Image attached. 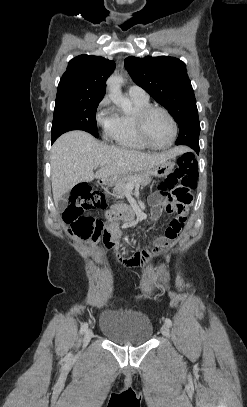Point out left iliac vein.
Masks as SVG:
<instances>
[{"label": "left iliac vein", "instance_id": "obj_1", "mask_svg": "<svg viewBox=\"0 0 247 407\" xmlns=\"http://www.w3.org/2000/svg\"><path fill=\"white\" fill-rule=\"evenodd\" d=\"M161 333L163 334L164 337L169 338L170 336V329L167 324L162 325L161 327Z\"/></svg>", "mask_w": 247, "mask_h": 407}]
</instances>
